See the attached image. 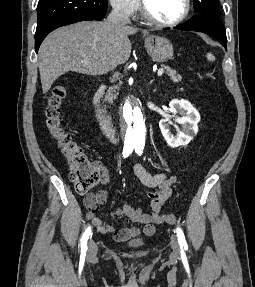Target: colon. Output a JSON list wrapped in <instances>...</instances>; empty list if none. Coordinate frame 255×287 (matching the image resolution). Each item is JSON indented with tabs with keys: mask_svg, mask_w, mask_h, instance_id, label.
Here are the masks:
<instances>
[{
	"mask_svg": "<svg viewBox=\"0 0 255 287\" xmlns=\"http://www.w3.org/2000/svg\"><path fill=\"white\" fill-rule=\"evenodd\" d=\"M66 96L63 85L56 86L48 100L45 110L46 127L69 165V179L76 191L86 194L99 182V174L82 146L62 126L61 105ZM162 219L168 224H176L178 217L164 214Z\"/></svg>",
	"mask_w": 255,
	"mask_h": 287,
	"instance_id": "1",
	"label": "colon"
}]
</instances>
